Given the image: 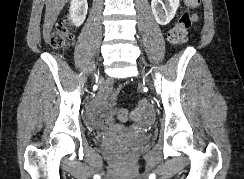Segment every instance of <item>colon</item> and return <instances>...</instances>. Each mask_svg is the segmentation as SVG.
<instances>
[{"label":"colon","instance_id":"obj_1","mask_svg":"<svg viewBox=\"0 0 244 179\" xmlns=\"http://www.w3.org/2000/svg\"><path fill=\"white\" fill-rule=\"evenodd\" d=\"M184 2L188 3L186 4L187 8L169 32V38L176 46H182L187 42L189 31L195 25V10L199 6L197 0H184ZM72 39L73 30L71 26L59 23L51 36V45L55 49H65L69 47ZM149 106V102H138L136 108L130 111L131 119L142 120L143 110H147ZM110 108L117 109L114 111V116L120 119V123H129V118H124L127 107H121V104H111Z\"/></svg>","mask_w":244,"mask_h":179}]
</instances>
